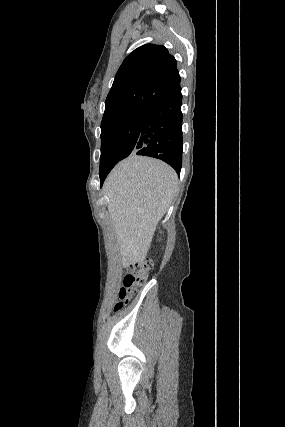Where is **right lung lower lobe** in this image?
Wrapping results in <instances>:
<instances>
[{"instance_id": "right-lung-lower-lobe-1", "label": "right lung lower lobe", "mask_w": 285, "mask_h": 427, "mask_svg": "<svg viewBox=\"0 0 285 427\" xmlns=\"http://www.w3.org/2000/svg\"><path fill=\"white\" fill-rule=\"evenodd\" d=\"M181 88L146 110L134 153L161 159L180 174L182 166ZM110 171L100 173L101 186Z\"/></svg>"}]
</instances>
